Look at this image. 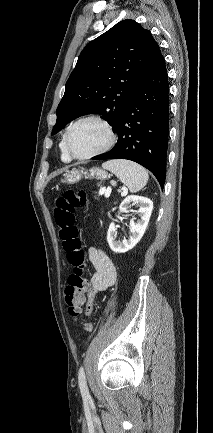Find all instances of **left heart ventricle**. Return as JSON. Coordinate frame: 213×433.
<instances>
[{"instance_id": "b2bd125f", "label": "left heart ventricle", "mask_w": 213, "mask_h": 433, "mask_svg": "<svg viewBox=\"0 0 213 433\" xmlns=\"http://www.w3.org/2000/svg\"><path fill=\"white\" fill-rule=\"evenodd\" d=\"M107 141L106 131L102 126L93 121H86L72 131L70 146L72 151L79 156L88 155L100 149Z\"/></svg>"}]
</instances>
